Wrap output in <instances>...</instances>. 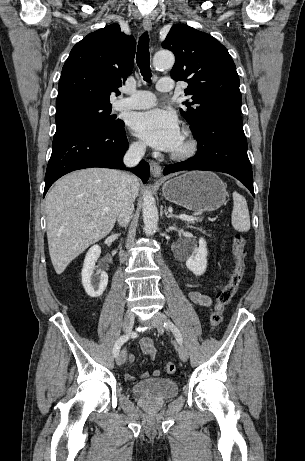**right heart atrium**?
Segmentation results:
<instances>
[{"label":"right heart atrium","mask_w":305,"mask_h":461,"mask_svg":"<svg viewBox=\"0 0 305 461\" xmlns=\"http://www.w3.org/2000/svg\"><path fill=\"white\" fill-rule=\"evenodd\" d=\"M144 146L141 142H133L131 144V149L132 151L136 152V153H140L142 150H143Z\"/></svg>","instance_id":"obj_1"}]
</instances>
